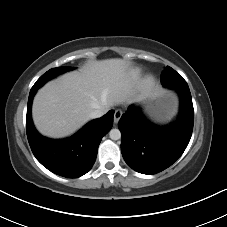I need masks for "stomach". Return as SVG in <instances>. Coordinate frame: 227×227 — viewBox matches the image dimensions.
Instances as JSON below:
<instances>
[{
    "instance_id": "obj_1",
    "label": "stomach",
    "mask_w": 227,
    "mask_h": 227,
    "mask_svg": "<svg viewBox=\"0 0 227 227\" xmlns=\"http://www.w3.org/2000/svg\"><path fill=\"white\" fill-rule=\"evenodd\" d=\"M177 99L173 94H162L147 105L146 110L150 117L157 122L169 120L176 112Z\"/></svg>"
}]
</instances>
